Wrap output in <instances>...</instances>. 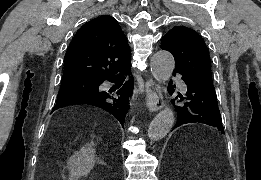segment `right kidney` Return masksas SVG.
Segmentation results:
<instances>
[{
	"mask_svg": "<svg viewBox=\"0 0 261 180\" xmlns=\"http://www.w3.org/2000/svg\"><path fill=\"white\" fill-rule=\"evenodd\" d=\"M93 146H95L93 142L86 144V146L81 148L80 152H75L70 160H68L69 180H77L81 176H87L93 166H95V162H99L100 164L99 158H96Z\"/></svg>",
	"mask_w": 261,
	"mask_h": 180,
	"instance_id": "right-kidney-1",
	"label": "right kidney"
}]
</instances>
